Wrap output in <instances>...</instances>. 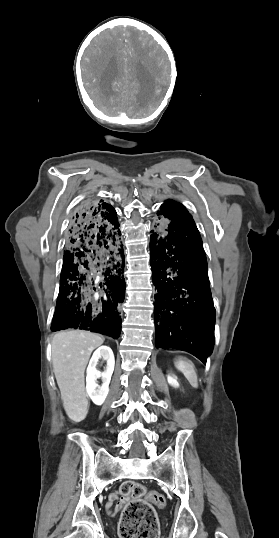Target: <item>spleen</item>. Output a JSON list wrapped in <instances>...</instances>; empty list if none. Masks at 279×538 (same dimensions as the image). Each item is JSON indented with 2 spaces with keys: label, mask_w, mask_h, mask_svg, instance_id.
<instances>
[{
  "label": "spleen",
  "mask_w": 279,
  "mask_h": 538,
  "mask_svg": "<svg viewBox=\"0 0 279 538\" xmlns=\"http://www.w3.org/2000/svg\"><path fill=\"white\" fill-rule=\"evenodd\" d=\"M174 366L177 368V370H180V372L184 374L185 378H187L188 382H190L193 388H197V374L194 370V364H192V362L178 360V362H174Z\"/></svg>",
  "instance_id": "1"
}]
</instances>
